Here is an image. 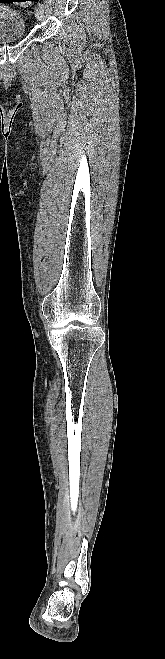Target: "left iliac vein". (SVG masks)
Returning a JSON list of instances; mask_svg holds the SVG:
<instances>
[{
    "instance_id": "4c4485c4",
    "label": "left iliac vein",
    "mask_w": 165,
    "mask_h": 659,
    "mask_svg": "<svg viewBox=\"0 0 165 659\" xmlns=\"http://www.w3.org/2000/svg\"><path fill=\"white\" fill-rule=\"evenodd\" d=\"M35 17L38 21L43 22L45 19L44 9L40 7L35 8Z\"/></svg>"
}]
</instances>
